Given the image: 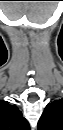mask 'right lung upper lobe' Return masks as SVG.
I'll use <instances>...</instances> for the list:
<instances>
[{
	"label": "right lung upper lobe",
	"mask_w": 63,
	"mask_h": 130,
	"mask_svg": "<svg viewBox=\"0 0 63 130\" xmlns=\"http://www.w3.org/2000/svg\"><path fill=\"white\" fill-rule=\"evenodd\" d=\"M0 128L1 130H29V124L16 105L0 101Z\"/></svg>",
	"instance_id": "1"
}]
</instances>
